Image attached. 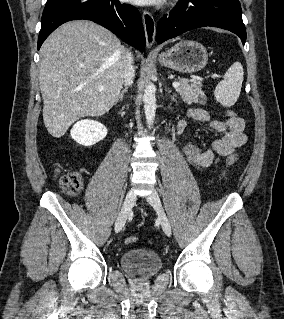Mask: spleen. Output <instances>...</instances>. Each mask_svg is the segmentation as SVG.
<instances>
[{"label": "spleen", "mask_w": 284, "mask_h": 319, "mask_svg": "<svg viewBox=\"0 0 284 319\" xmlns=\"http://www.w3.org/2000/svg\"><path fill=\"white\" fill-rule=\"evenodd\" d=\"M243 67L240 62L233 63L226 71L224 79L216 86L214 96L224 107H230L237 101L243 82Z\"/></svg>", "instance_id": "1"}]
</instances>
